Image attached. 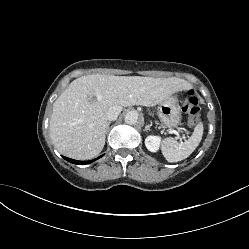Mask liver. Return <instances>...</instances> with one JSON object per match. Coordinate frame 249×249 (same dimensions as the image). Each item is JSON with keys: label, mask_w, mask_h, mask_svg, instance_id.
Instances as JSON below:
<instances>
[{"label": "liver", "mask_w": 249, "mask_h": 249, "mask_svg": "<svg viewBox=\"0 0 249 249\" xmlns=\"http://www.w3.org/2000/svg\"><path fill=\"white\" fill-rule=\"evenodd\" d=\"M189 87L187 81L176 77L82 76L72 81L53 104L51 139L67 157L92 159L104 147L110 107L155 106Z\"/></svg>", "instance_id": "obj_1"}]
</instances>
